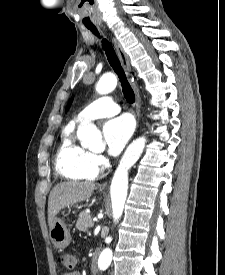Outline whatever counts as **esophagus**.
<instances>
[{
	"instance_id": "esophagus-1",
	"label": "esophagus",
	"mask_w": 225,
	"mask_h": 275,
	"mask_svg": "<svg viewBox=\"0 0 225 275\" xmlns=\"http://www.w3.org/2000/svg\"><path fill=\"white\" fill-rule=\"evenodd\" d=\"M112 42L114 44V47L117 51V54L120 58V61H121V64H122V67L127 75V77L130 79L131 77V74H130V63H129V58L127 56V54L125 53L122 45L120 44V42L112 37ZM132 87L134 89V92H135V96H136V115H137V122L139 124L140 122V118H141V98H140V94H139V91H138V88L136 86V84H132ZM107 186V183H103L101 185L102 188L106 187Z\"/></svg>"
}]
</instances>
